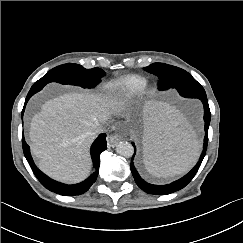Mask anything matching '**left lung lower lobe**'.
I'll return each mask as SVG.
<instances>
[{"label": "left lung lower lobe", "mask_w": 243, "mask_h": 243, "mask_svg": "<svg viewBox=\"0 0 243 243\" xmlns=\"http://www.w3.org/2000/svg\"><path fill=\"white\" fill-rule=\"evenodd\" d=\"M178 92L181 96L186 97V98H198L202 101V103L204 105L205 137H204V143H203V151L199 158V161L188 174H186L184 177L178 179L177 181H174L167 185H154V184H150V183H147L146 181H144L140 177L139 173L137 172V170L134 167V163H133V158L135 155V152H134V155H133L132 161H131V171H132L133 177H134L137 185L143 191H145L149 194L166 195V194H170V193H173L175 191H178V190L184 188L197 173V171L203 161V158L206 154L207 144H208V128H209V124H210V120H211V113H210V109H209V105H208L206 92L200 84L186 87V88H181L178 90ZM132 145L134 147V150H136L134 143H132Z\"/></svg>", "instance_id": "obj_1"}]
</instances>
